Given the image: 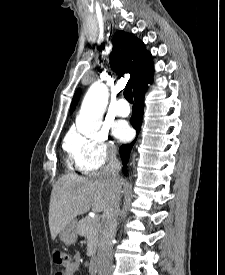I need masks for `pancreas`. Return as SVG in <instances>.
Returning <instances> with one entry per match:
<instances>
[{
  "label": "pancreas",
  "mask_w": 225,
  "mask_h": 275,
  "mask_svg": "<svg viewBox=\"0 0 225 275\" xmlns=\"http://www.w3.org/2000/svg\"><path fill=\"white\" fill-rule=\"evenodd\" d=\"M100 223L97 219L89 217L82 219L77 224V233L87 239V255L93 256L98 243Z\"/></svg>",
  "instance_id": "1"
}]
</instances>
